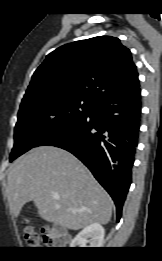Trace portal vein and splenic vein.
Listing matches in <instances>:
<instances>
[{"label":"portal vein and splenic vein","instance_id":"18ae733b","mask_svg":"<svg viewBox=\"0 0 162 261\" xmlns=\"http://www.w3.org/2000/svg\"><path fill=\"white\" fill-rule=\"evenodd\" d=\"M53 198H54V199H59L60 196H59L58 194H53Z\"/></svg>","mask_w":162,"mask_h":261}]
</instances>
